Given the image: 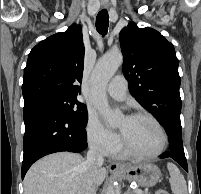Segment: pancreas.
Masks as SVG:
<instances>
[{"label": "pancreas", "mask_w": 201, "mask_h": 194, "mask_svg": "<svg viewBox=\"0 0 201 194\" xmlns=\"http://www.w3.org/2000/svg\"><path fill=\"white\" fill-rule=\"evenodd\" d=\"M142 194H149L147 191H145V192H142Z\"/></svg>", "instance_id": "1"}]
</instances>
